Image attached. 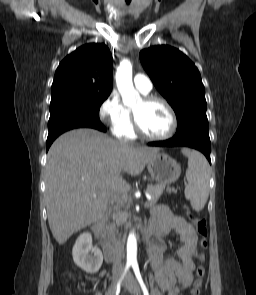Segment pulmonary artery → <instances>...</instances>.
Returning a JSON list of instances; mask_svg holds the SVG:
<instances>
[{
    "label": "pulmonary artery",
    "instance_id": "pulmonary-artery-1",
    "mask_svg": "<svg viewBox=\"0 0 256 295\" xmlns=\"http://www.w3.org/2000/svg\"><path fill=\"white\" fill-rule=\"evenodd\" d=\"M134 86L143 94H148L152 90V82L144 74H136L133 79Z\"/></svg>",
    "mask_w": 256,
    "mask_h": 295
}]
</instances>
